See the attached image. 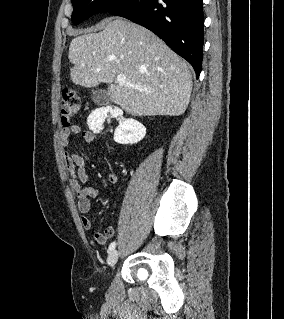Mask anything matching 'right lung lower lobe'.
Returning a JSON list of instances; mask_svg holds the SVG:
<instances>
[{
    "label": "right lung lower lobe",
    "mask_w": 284,
    "mask_h": 319,
    "mask_svg": "<svg viewBox=\"0 0 284 319\" xmlns=\"http://www.w3.org/2000/svg\"><path fill=\"white\" fill-rule=\"evenodd\" d=\"M202 3L203 0H131L108 12L154 32L193 66L198 78L204 41Z\"/></svg>",
    "instance_id": "right-lung-lower-lobe-1"
}]
</instances>
